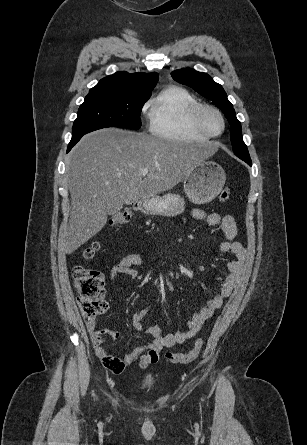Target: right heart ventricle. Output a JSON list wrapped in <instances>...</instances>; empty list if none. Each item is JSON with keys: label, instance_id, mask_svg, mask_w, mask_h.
<instances>
[{"label": "right heart ventricle", "instance_id": "obj_1", "mask_svg": "<svg viewBox=\"0 0 307 445\" xmlns=\"http://www.w3.org/2000/svg\"><path fill=\"white\" fill-rule=\"evenodd\" d=\"M150 131L163 139L207 140L198 123L199 103L185 90L170 87L147 100Z\"/></svg>", "mask_w": 307, "mask_h": 445}]
</instances>
